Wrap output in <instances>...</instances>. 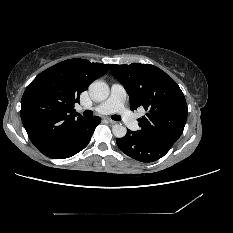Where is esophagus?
<instances>
[{
	"mask_svg": "<svg viewBox=\"0 0 233 233\" xmlns=\"http://www.w3.org/2000/svg\"><path fill=\"white\" fill-rule=\"evenodd\" d=\"M105 120H106L107 122L111 123V124H115V121H114V120H111V119H109V118H106Z\"/></svg>",
	"mask_w": 233,
	"mask_h": 233,
	"instance_id": "1",
	"label": "esophagus"
}]
</instances>
